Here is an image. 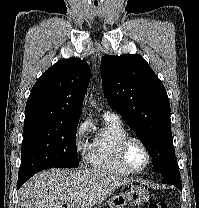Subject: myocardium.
<instances>
[{
	"mask_svg": "<svg viewBox=\"0 0 199 208\" xmlns=\"http://www.w3.org/2000/svg\"><path fill=\"white\" fill-rule=\"evenodd\" d=\"M132 142H137L139 143L142 148L144 149L145 151V154H146V162L144 164L143 167L141 168H135L133 167L129 160H128V155H127V152H128V147L129 145L132 143ZM118 156H119V160L121 162V164L128 170L130 171L131 173H140L142 171H144L151 163V153H150V150L147 146V144L140 138V137H137V136H132V135H128L127 137H125L120 145H119V149H118Z\"/></svg>",
	"mask_w": 199,
	"mask_h": 208,
	"instance_id": "1",
	"label": "myocardium"
}]
</instances>
